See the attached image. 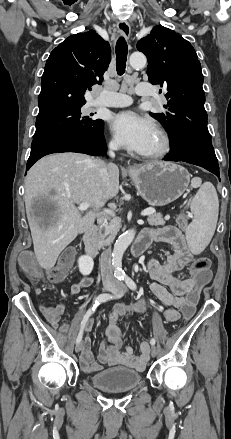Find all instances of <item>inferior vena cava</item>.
Segmentation results:
<instances>
[{
	"label": "inferior vena cava",
	"mask_w": 231,
	"mask_h": 439,
	"mask_svg": "<svg viewBox=\"0 0 231 439\" xmlns=\"http://www.w3.org/2000/svg\"><path fill=\"white\" fill-rule=\"evenodd\" d=\"M118 149V144L116 142L109 143L108 155L110 157H114V151ZM112 164H107L103 161L100 162V175L103 180V183L106 185L109 180L108 168ZM100 263V271L103 281H112L114 280L113 276V268L111 264V248L106 249L99 259Z\"/></svg>",
	"instance_id": "602c4592"
}]
</instances>
